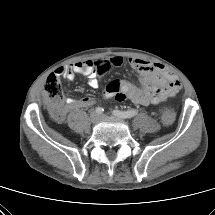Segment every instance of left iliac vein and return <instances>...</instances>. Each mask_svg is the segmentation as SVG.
Returning a JSON list of instances; mask_svg holds the SVG:
<instances>
[{
    "label": "left iliac vein",
    "mask_w": 215,
    "mask_h": 215,
    "mask_svg": "<svg viewBox=\"0 0 215 215\" xmlns=\"http://www.w3.org/2000/svg\"><path fill=\"white\" fill-rule=\"evenodd\" d=\"M100 118H101V119H106V118H108V116L105 115V114H103V115L100 116Z\"/></svg>",
    "instance_id": "obj_1"
}]
</instances>
